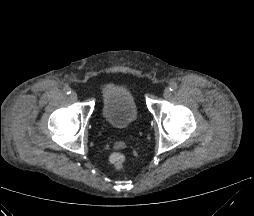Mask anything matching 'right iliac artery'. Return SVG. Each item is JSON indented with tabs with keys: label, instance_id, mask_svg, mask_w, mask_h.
Masks as SVG:
<instances>
[{
	"label": "right iliac artery",
	"instance_id": "82829eb1",
	"mask_svg": "<svg viewBox=\"0 0 254 216\" xmlns=\"http://www.w3.org/2000/svg\"><path fill=\"white\" fill-rule=\"evenodd\" d=\"M63 90H64V92H65L66 94H70V93H71V88L68 87V86H66Z\"/></svg>",
	"mask_w": 254,
	"mask_h": 216
}]
</instances>
